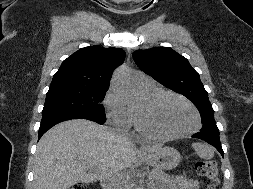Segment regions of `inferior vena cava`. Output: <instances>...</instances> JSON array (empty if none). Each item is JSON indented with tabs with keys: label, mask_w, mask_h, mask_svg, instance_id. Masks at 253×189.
I'll use <instances>...</instances> for the list:
<instances>
[{
	"label": "inferior vena cava",
	"mask_w": 253,
	"mask_h": 189,
	"mask_svg": "<svg viewBox=\"0 0 253 189\" xmlns=\"http://www.w3.org/2000/svg\"><path fill=\"white\" fill-rule=\"evenodd\" d=\"M128 175L126 172H114L108 178L107 189H126Z\"/></svg>",
	"instance_id": "1"
}]
</instances>
